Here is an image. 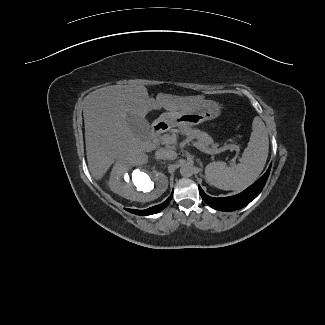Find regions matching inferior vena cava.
Instances as JSON below:
<instances>
[{"label": "inferior vena cava", "instance_id": "602c4592", "mask_svg": "<svg viewBox=\"0 0 325 325\" xmlns=\"http://www.w3.org/2000/svg\"><path fill=\"white\" fill-rule=\"evenodd\" d=\"M156 158L174 160L177 157V153L170 149L160 148L155 153Z\"/></svg>", "mask_w": 325, "mask_h": 325}]
</instances>
